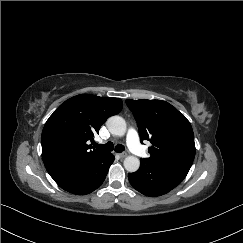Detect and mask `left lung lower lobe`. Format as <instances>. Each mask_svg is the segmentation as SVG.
<instances>
[{
  "instance_id": "obj_1",
  "label": "left lung lower lobe",
  "mask_w": 243,
  "mask_h": 243,
  "mask_svg": "<svg viewBox=\"0 0 243 243\" xmlns=\"http://www.w3.org/2000/svg\"><path fill=\"white\" fill-rule=\"evenodd\" d=\"M193 160L171 159L154 164H140L138 171L128 174L130 184L147 196H160L179 185Z\"/></svg>"
}]
</instances>
